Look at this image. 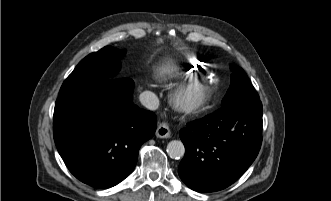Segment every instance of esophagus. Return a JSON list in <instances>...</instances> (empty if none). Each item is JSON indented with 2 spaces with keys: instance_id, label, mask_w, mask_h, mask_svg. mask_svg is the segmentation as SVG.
I'll return each mask as SVG.
<instances>
[{
  "instance_id": "obj_1",
  "label": "esophagus",
  "mask_w": 331,
  "mask_h": 201,
  "mask_svg": "<svg viewBox=\"0 0 331 201\" xmlns=\"http://www.w3.org/2000/svg\"><path fill=\"white\" fill-rule=\"evenodd\" d=\"M170 129L169 126L162 122L158 125L157 129H156V136L159 138H169L170 137Z\"/></svg>"
}]
</instances>
